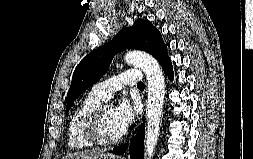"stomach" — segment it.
Returning <instances> with one entry per match:
<instances>
[{"label":"stomach","mask_w":253,"mask_h":159,"mask_svg":"<svg viewBox=\"0 0 253 159\" xmlns=\"http://www.w3.org/2000/svg\"><path fill=\"white\" fill-rule=\"evenodd\" d=\"M101 159H118V158L114 157V158H101Z\"/></svg>","instance_id":"obj_1"}]
</instances>
